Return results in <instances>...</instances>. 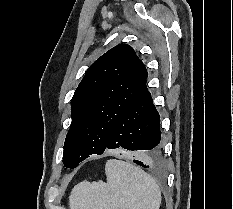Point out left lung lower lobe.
<instances>
[{
    "label": "left lung lower lobe",
    "mask_w": 233,
    "mask_h": 209,
    "mask_svg": "<svg viewBox=\"0 0 233 209\" xmlns=\"http://www.w3.org/2000/svg\"><path fill=\"white\" fill-rule=\"evenodd\" d=\"M147 77L125 113L114 125L105 149L147 151L143 160H134L145 168L158 164L161 159L160 117L146 86Z\"/></svg>",
    "instance_id": "1"
}]
</instances>
